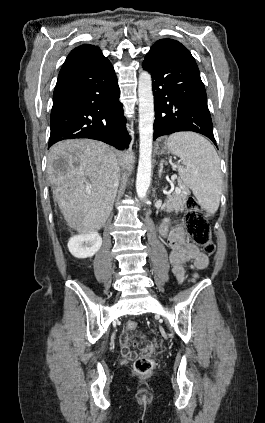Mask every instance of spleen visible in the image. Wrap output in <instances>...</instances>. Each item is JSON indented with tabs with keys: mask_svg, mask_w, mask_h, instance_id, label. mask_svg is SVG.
<instances>
[{
	"mask_svg": "<svg viewBox=\"0 0 265 423\" xmlns=\"http://www.w3.org/2000/svg\"><path fill=\"white\" fill-rule=\"evenodd\" d=\"M167 141L170 152L180 157L185 166L178 167L181 180L200 206L214 214L219 208L222 187L220 161L214 146L194 132H177Z\"/></svg>",
	"mask_w": 265,
	"mask_h": 423,
	"instance_id": "3e777b00",
	"label": "spleen"
}]
</instances>
